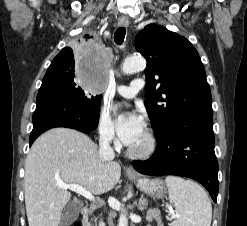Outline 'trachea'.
Returning a JSON list of instances; mask_svg holds the SVG:
<instances>
[{
    "mask_svg": "<svg viewBox=\"0 0 247 226\" xmlns=\"http://www.w3.org/2000/svg\"><path fill=\"white\" fill-rule=\"evenodd\" d=\"M125 34H126V29L124 27H119L114 33L115 43L121 45L124 41Z\"/></svg>",
    "mask_w": 247,
    "mask_h": 226,
    "instance_id": "obj_1",
    "label": "trachea"
}]
</instances>
